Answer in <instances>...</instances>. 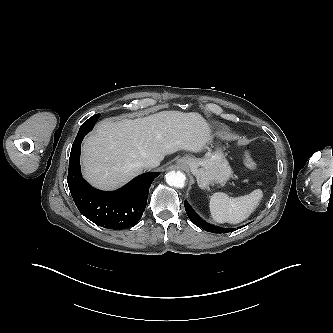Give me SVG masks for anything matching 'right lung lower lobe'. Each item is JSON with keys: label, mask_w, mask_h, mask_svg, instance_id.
<instances>
[{"label": "right lung lower lobe", "mask_w": 333, "mask_h": 333, "mask_svg": "<svg viewBox=\"0 0 333 333\" xmlns=\"http://www.w3.org/2000/svg\"><path fill=\"white\" fill-rule=\"evenodd\" d=\"M93 115L80 127L72 145L67 182L78 210L89 220L108 229H125L137 224L146 208L148 192L159 173H144L122 188L105 192L91 187L81 175L80 148L84 136L99 119Z\"/></svg>", "instance_id": "obj_1"}]
</instances>
